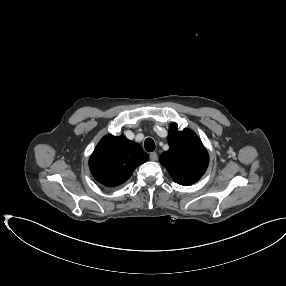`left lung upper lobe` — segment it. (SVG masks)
Here are the masks:
<instances>
[{"instance_id": "obj_1", "label": "left lung upper lobe", "mask_w": 286, "mask_h": 286, "mask_svg": "<svg viewBox=\"0 0 286 286\" xmlns=\"http://www.w3.org/2000/svg\"><path fill=\"white\" fill-rule=\"evenodd\" d=\"M169 150L160 156V163L180 185H191L205 173L209 155L199 137L190 129L177 130L173 123L168 134Z\"/></svg>"}]
</instances>
